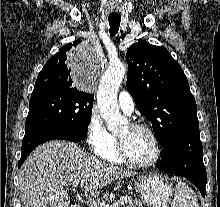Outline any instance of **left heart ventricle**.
I'll use <instances>...</instances> for the list:
<instances>
[{"mask_svg": "<svg viewBox=\"0 0 220 207\" xmlns=\"http://www.w3.org/2000/svg\"><path fill=\"white\" fill-rule=\"evenodd\" d=\"M117 136L120 137L126 147L129 157L140 163L149 162L155 155V146L150 135L139 129H132L126 125Z\"/></svg>", "mask_w": 220, "mask_h": 207, "instance_id": "1", "label": "left heart ventricle"}]
</instances>
